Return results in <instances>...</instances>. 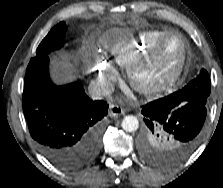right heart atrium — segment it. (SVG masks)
Returning <instances> with one entry per match:
<instances>
[{"label": "right heart atrium", "instance_id": "obj_1", "mask_svg": "<svg viewBox=\"0 0 223 188\" xmlns=\"http://www.w3.org/2000/svg\"><path fill=\"white\" fill-rule=\"evenodd\" d=\"M94 70L99 81L107 86L116 78L115 69L103 59L96 57Z\"/></svg>", "mask_w": 223, "mask_h": 188}]
</instances>
